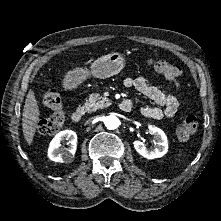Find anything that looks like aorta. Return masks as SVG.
Instances as JSON below:
<instances>
[{
    "mask_svg": "<svg viewBox=\"0 0 221 221\" xmlns=\"http://www.w3.org/2000/svg\"><path fill=\"white\" fill-rule=\"evenodd\" d=\"M104 124L107 127V129L114 130L118 128L120 121L116 116L109 115L105 118Z\"/></svg>",
    "mask_w": 221,
    "mask_h": 221,
    "instance_id": "aorta-1",
    "label": "aorta"
}]
</instances>
